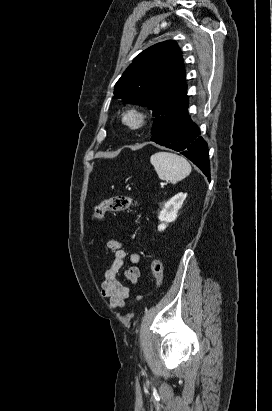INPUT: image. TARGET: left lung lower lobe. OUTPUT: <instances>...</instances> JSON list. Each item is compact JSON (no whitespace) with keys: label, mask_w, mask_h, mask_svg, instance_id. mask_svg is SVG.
Listing matches in <instances>:
<instances>
[{"label":"left lung lower lobe","mask_w":272,"mask_h":411,"mask_svg":"<svg viewBox=\"0 0 272 411\" xmlns=\"http://www.w3.org/2000/svg\"><path fill=\"white\" fill-rule=\"evenodd\" d=\"M187 109L188 103L153 134L151 141L180 151L210 177L207 143L200 136L199 128L190 119Z\"/></svg>","instance_id":"obj_1"}]
</instances>
